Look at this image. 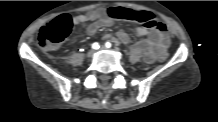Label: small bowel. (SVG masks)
Listing matches in <instances>:
<instances>
[{
  "instance_id": "c3829d8e",
  "label": "small bowel",
  "mask_w": 218,
  "mask_h": 122,
  "mask_svg": "<svg viewBox=\"0 0 218 122\" xmlns=\"http://www.w3.org/2000/svg\"><path fill=\"white\" fill-rule=\"evenodd\" d=\"M109 9H95L84 14L76 15L72 18V22L76 26H84L86 23H89L86 32L88 35H94L102 27H108L113 24L114 18L108 14ZM136 34L143 37V39L137 41L133 45V49L142 53L146 63L155 62L156 55L164 49H168L170 45V36L164 24L162 28L139 26L136 28ZM105 38L119 41L123 44H129L131 42L130 36L124 31H119L116 34H107Z\"/></svg>"
}]
</instances>
